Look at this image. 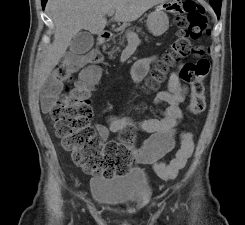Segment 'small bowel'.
Masks as SVG:
<instances>
[{"label":"small bowel","instance_id":"c3829d8e","mask_svg":"<svg viewBox=\"0 0 245 225\" xmlns=\"http://www.w3.org/2000/svg\"><path fill=\"white\" fill-rule=\"evenodd\" d=\"M158 60L157 56L137 60L127 75V79L136 83L141 82L151 65L157 63ZM178 68H181V65ZM87 72L91 73V77L86 84L89 89H92L99 80L100 67L91 65ZM187 92L188 87L183 82L179 71L174 70L169 75L168 89L159 91L156 95L155 103L159 106L166 105L160 109L161 117L136 119L110 114L106 117V125L98 124L96 130L103 140L108 137L109 132L121 133L132 127L138 132L147 133L149 136L138 149L132 152L131 159L138 165L155 166L175 145V136L178 134V126L183 118L180 104L185 100ZM50 105V100H43L44 113L48 112ZM186 134L188 133L181 132L179 136L182 139Z\"/></svg>","mask_w":245,"mask_h":225}]
</instances>
